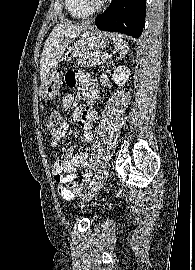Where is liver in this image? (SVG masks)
I'll return each instance as SVG.
<instances>
[{"mask_svg":"<svg viewBox=\"0 0 195 270\" xmlns=\"http://www.w3.org/2000/svg\"><path fill=\"white\" fill-rule=\"evenodd\" d=\"M88 24H57L44 45L40 60L41 85L45 82L50 70L57 65L72 40L89 29Z\"/></svg>","mask_w":195,"mask_h":270,"instance_id":"1","label":"liver"}]
</instances>
